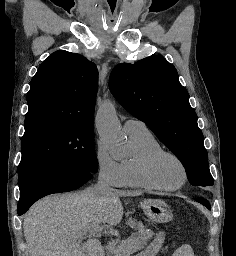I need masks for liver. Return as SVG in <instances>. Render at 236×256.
<instances>
[{
  "label": "liver",
  "mask_w": 236,
  "mask_h": 256,
  "mask_svg": "<svg viewBox=\"0 0 236 256\" xmlns=\"http://www.w3.org/2000/svg\"><path fill=\"white\" fill-rule=\"evenodd\" d=\"M140 194L112 190V194L96 196L92 188H87L77 194L46 196L25 214L23 232L29 256H101L99 240L90 238L80 246L81 228L119 224L123 218L120 196Z\"/></svg>",
  "instance_id": "liver-1"
}]
</instances>
